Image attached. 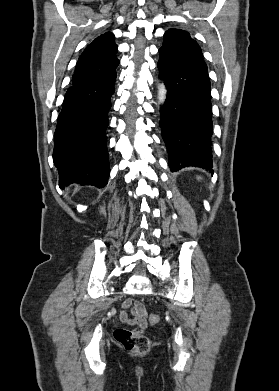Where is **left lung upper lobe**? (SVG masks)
Here are the masks:
<instances>
[{
  "instance_id": "5c2ea615",
  "label": "left lung upper lobe",
  "mask_w": 279,
  "mask_h": 391,
  "mask_svg": "<svg viewBox=\"0 0 279 391\" xmlns=\"http://www.w3.org/2000/svg\"><path fill=\"white\" fill-rule=\"evenodd\" d=\"M161 48L207 71L201 48L188 32L169 29L164 34V43Z\"/></svg>"
}]
</instances>
